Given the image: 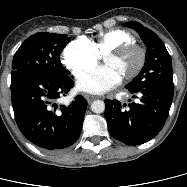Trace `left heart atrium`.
Segmentation results:
<instances>
[{"mask_svg": "<svg viewBox=\"0 0 187 187\" xmlns=\"http://www.w3.org/2000/svg\"><path fill=\"white\" fill-rule=\"evenodd\" d=\"M121 80L122 77L112 67L104 65L79 78L76 86L82 92L102 94L117 86Z\"/></svg>", "mask_w": 187, "mask_h": 187, "instance_id": "39dd6f15", "label": "left heart atrium"}]
</instances>
